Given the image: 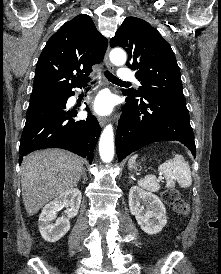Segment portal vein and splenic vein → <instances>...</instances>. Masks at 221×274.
Returning <instances> with one entry per match:
<instances>
[{
    "label": "portal vein and splenic vein",
    "mask_w": 221,
    "mask_h": 274,
    "mask_svg": "<svg viewBox=\"0 0 221 274\" xmlns=\"http://www.w3.org/2000/svg\"><path fill=\"white\" fill-rule=\"evenodd\" d=\"M162 179H164L162 176H159V180H162Z\"/></svg>",
    "instance_id": "portal-vein-and-splenic-vein-1"
}]
</instances>
